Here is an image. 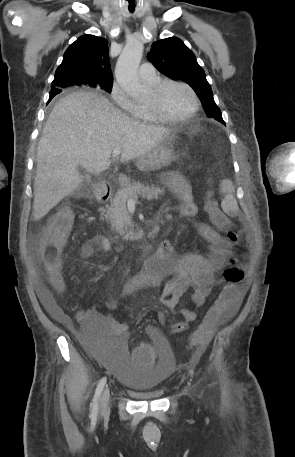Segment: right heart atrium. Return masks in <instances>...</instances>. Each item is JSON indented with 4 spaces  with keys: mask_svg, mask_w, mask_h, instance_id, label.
I'll return each instance as SVG.
<instances>
[{
    "mask_svg": "<svg viewBox=\"0 0 295 457\" xmlns=\"http://www.w3.org/2000/svg\"><path fill=\"white\" fill-rule=\"evenodd\" d=\"M113 102L123 111L133 115L136 109V103L129 98L118 83H114L110 91Z\"/></svg>",
    "mask_w": 295,
    "mask_h": 457,
    "instance_id": "obj_1",
    "label": "right heart atrium"
}]
</instances>
